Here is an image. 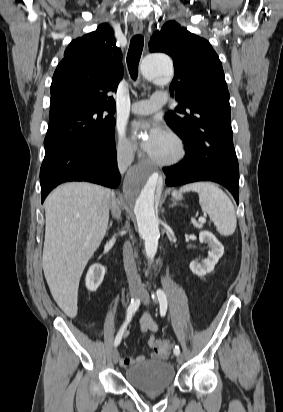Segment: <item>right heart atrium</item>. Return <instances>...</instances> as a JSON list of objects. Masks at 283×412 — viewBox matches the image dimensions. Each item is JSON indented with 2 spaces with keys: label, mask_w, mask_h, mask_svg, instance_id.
<instances>
[{
  "label": "right heart atrium",
  "mask_w": 283,
  "mask_h": 412,
  "mask_svg": "<svg viewBox=\"0 0 283 412\" xmlns=\"http://www.w3.org/2000/svg\"><path fill=\"white\" fill-rule=\"evenodd\" d=\"M115 149L118 157L125 161H131L138 152L136 144L120 129L116 132Z\"/></svg>",
  "instance_id": "d8ad5b80"
}]
</instances>
